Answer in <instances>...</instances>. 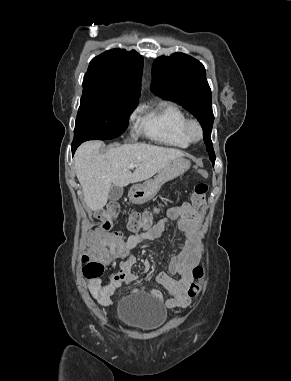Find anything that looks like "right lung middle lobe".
I'll return each instance as SVG.
<instances>
[{
  "label": "right lung middle lobe",
  "instance_id": "right-lung-middle-lobe-1",
  "mask_svg": "<svg viewBox=\"0 0 291 381\" xmlns=\"http://www.w3.org/2000/svg\"><path fill=\"white\" fill-rule=\"evenodd\" d=\"M137 102L83 92L74 129V144L118 137L127 127Z\"/></svg>",
  "mask_w": 291,
  "mask_h": 381
}]
</instances>
